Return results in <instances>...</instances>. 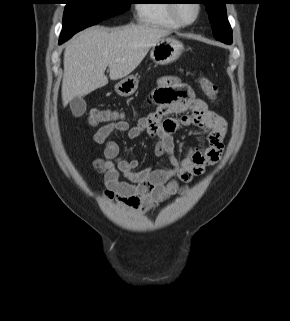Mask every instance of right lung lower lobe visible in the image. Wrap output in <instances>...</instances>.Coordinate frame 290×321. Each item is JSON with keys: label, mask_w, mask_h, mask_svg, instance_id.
Instances as JSON below:
<instances>
[{"label": "right lung lower lobe", "mask_w": 290, "mask_h": 321, "mask_svg": "<svg viewBox=\"0 0 290 321\" xmlns=\"http://www.w3.org/2000/svg\"><path fill=\"white\" fill-rule=\"evenodd\" d=\"M63 42H64V41H62V40L59 41L60 44L63 43Z\"/></svg>", "instance_id": "1"}]
</instances>
